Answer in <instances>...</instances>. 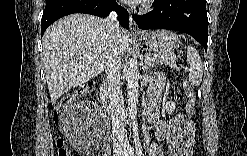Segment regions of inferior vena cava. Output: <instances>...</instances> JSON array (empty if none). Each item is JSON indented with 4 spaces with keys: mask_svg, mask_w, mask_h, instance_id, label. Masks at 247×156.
Masks as SVG:
<instances>
[{
    "mask_svg": "<svg viewBox=\"0 0 247 156\" xmlns=\"http://www.w3.org/2000/svg\"><path fill=\"white\" fill-rule=\"evenodd\" d=\"M105 31L110 35L112 39V45L114 46L112 52L107 55L104 68L108 82V94L110 101V111L112 114L113 133L117 138H125V109L120 82L121 54L116 47L120 26L115 12H112L106 19Z\"/></svg>",
    "mask_w": 247,
    "mask_h": 156,
    "instance_id": "obj_1",
    "label": "inferior vena cava"
}]
</instances>
